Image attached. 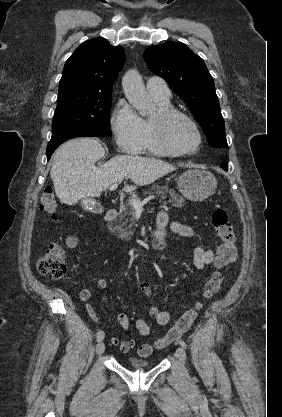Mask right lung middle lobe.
Returning a JSON list of instances; mask_svg holds the SVG:
<instances>
[{
    "label": "right lung middle lobe",
    "mask_w": 282,
    "mask_h": 417,
    "mask_svg": "<svg viewBox=\"0 0 282 417\" xmlns=\"http://www.w3.org/2000/svg\"><path fill=\"white\" fill-rule=\"evenodd\" d=\"M111 93L97 91L58 93L52 122V136L72 129L111 136L109 113L112 103Z\"/></svg>",
    "instance_id": "1"
}]
</instances>
